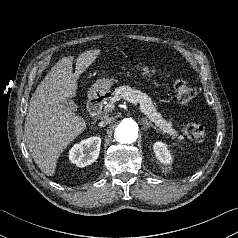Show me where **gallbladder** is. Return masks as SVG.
Segmentation results:
<instances>
[{
  "label": "gallbladder",
  "mask_w": 238,
  "mask_h": 238,
  "mask_svg": "<svg viewBox=\"0 0 238 238\" xmlns=\"http://www.w3.org/2000/svg\"><path fill=\"white\" fill-rule=\"evenodd\" d=\"M63 105H65L67 108L73 110V111H76L78 106L77 104L73 101V100H69V99H66L64 102H63Z\"/></svg>",
  "instance_id": "gallbladder-1"
}]
</instances>
